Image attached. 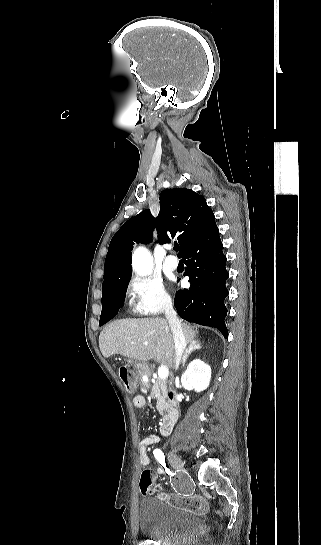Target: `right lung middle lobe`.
Listing matches in <instances>:
<instances>
[{"label":"right lung middle lobe","instance_id":"obj_1","mask_svg":"<svg viewBox=\"0 0 321 545\" xmlns=\"http://www.w3.org/2000/svg\"><path fill=\"white\" fill-rule=\"evenodd\" d=\"M131 278V275L127 276L118 286L112 288V289H109V290H103V295H102V313H101V316H100V322H99V325L102 326L103 324H105V316H104V306H105V303L106 301L108 300V298L110 296H113V295H124L126 293V289H127V286H128V283H129V280Z\"/></svg>","mask_w":321,"mask_h":545}]
</instances>
